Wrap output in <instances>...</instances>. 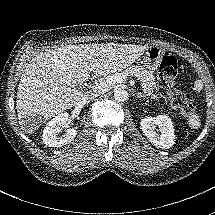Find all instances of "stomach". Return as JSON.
<instances>
[{"label":"stomach","instance_id":"stomach-1","mask_svg":"<svg viewBox=\"0 0 215 215\" xmlns=\"http://www.w3.org/2000/svg\"><path fill=\"white\" fill-rule=\"evenodd\" d=\"M165 51L160 46H149L142 56L141 63L150 71H155L161 64Z\"/></svg>","mask_w":215,"mask_h":215}]
</instances>
